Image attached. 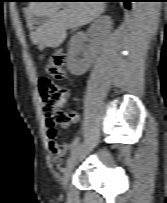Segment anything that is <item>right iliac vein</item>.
<instances>
[{"mask_svg": "<svg viewBox=\"0 0 167 203\" xmlns=\"http://www.w3.org/2000/svg\"><path fill=\"white\" fill-rule=\"evenodd\" d=\"M79 153H80V147L77 148L73 152V154L71 155V157L68 160L67 166H66V168L63 172L62 178H61L63 189L66 188V186L69 182L70 175H71V173H72V171L76 165Z\"/></svg>", "mask_w": 167, "mask_h": 203, "instance_id": "right-iliac-vein-1", "label": "right iliac vein"}]
</instances>
